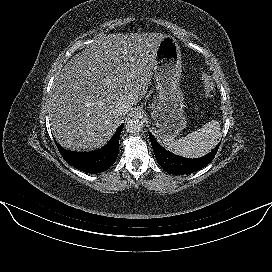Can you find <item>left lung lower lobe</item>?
Instances as JSON below:
<instances>
[{
    "mask_svg": "<svg viewBox=\"0 0 272 272\" xmlns=\"http://www.w3.org/2000/svg\"><path fill=\"white\" fill-rule=\"evenodd\" d=\"M149 138L157 162L169 174L181 175L198 171L208 165L215 157L219 145L209 154L198 159H188L174 155L163 149L149 133Z\"/></svg>",
    "mask_w": 272,
    "mask_h": 272,
    "instance_id": "0a47b994",
    "label": "left lung lower lobe"
}]
</instances>
